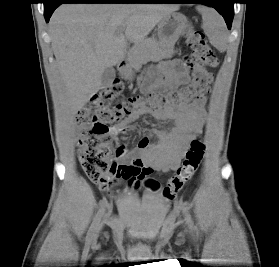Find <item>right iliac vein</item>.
<instances>
[{
	"mask_svg": "<svg viewBox=\"0 0 279 267\" xmlns=\"http://www.w3.org/2000/svg\"><path fill=\"white\" fill-rule=\"evenodd\" d=\"M102 229V223L98 225V227L96 228L94 235H93V239H96L99 235L100 230Z\"/></svg>",
	"mask_w": 279,
	"mask_h": 267,
	"instance_id": "right-iliac-vein-1",
	"label": "right iliac vein"
}]
</instances>
